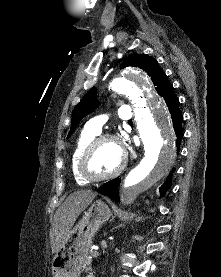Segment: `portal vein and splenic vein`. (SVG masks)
I'll list each match as a JSON object with an SVG mask.
<instances>
[{"label": "portal vein and splenic vein", "mask_w": 221, "mask_h": 277, "mask_svg": "<svg viewBox=\"0 0 221 277\" xmlns=\"http://www.w3.org/2000/svg\"><path fill=\"white\" fill-rule=\"evenodd\" d=\"M98 255V252L95 251V256Z\"/></svg>", "instance_id": "portal-vein-and-splenic-vein-1"}]
</instances>
